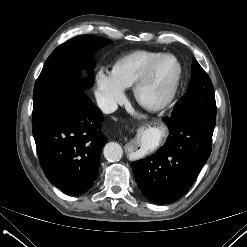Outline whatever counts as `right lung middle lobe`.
Segmentation results:
<instances>
[{
    "mask_svg": "<svg viewBox=\"0 0 247 247\" xmlns=\"http://www.w3.org/2000/svg\"><path fill=\"white\" fill-rule=\"evenodd\" d=\"M110 40L93 35H80L58 46L47 59L33 94V127L58 110L74 91L83 90L79 71L89 63L90 77L86 86L93 84L94 52Z\"/></svg>",
    "mask_w": 247,
    "mask_h": 247,
    "instance_id": "right-lung-middle-lobe-1",
    "label": "right lung middle lobe"
}]
</instances>
